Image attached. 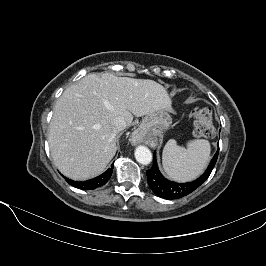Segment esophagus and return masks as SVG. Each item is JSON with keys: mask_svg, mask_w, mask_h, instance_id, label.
Returning a JSON list of instances; mask_svg holds the SVG:
<instances>
[{"mask_svg": "<svg viewBox=\"0 0 266 266\" xmlns=\"http://www.w3.org/2000/svg\"><path fill=\"white\" fill-rule=\"evenodd\" d=\"M142 136H143V133L141 130L134 131L132 136H131V142L133 144L140 142L142 140Z\"/></svg>", "mask_w": 266, "mask_h": 266, "instance_id": "esophagus-1", "label": "esophagus"}]
</instances>
